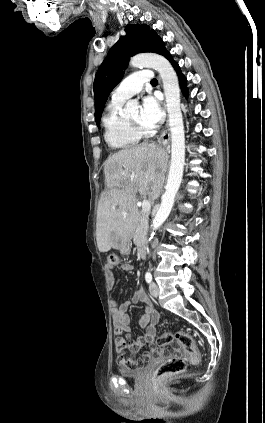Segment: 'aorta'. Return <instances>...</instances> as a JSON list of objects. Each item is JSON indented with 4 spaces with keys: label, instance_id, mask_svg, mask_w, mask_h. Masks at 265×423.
<instances>
[{
    "label": "aorta",
    "instance_id": "obj_1",
    "mask_svg": "<svg viewBox=\"0 0 265 423\" xmlns=\"http://www.w3.org/2000/svg\"><path fill=\"white\" fill-rule=\"evenodd\" d=\"M130 65L134 68H153L160 74L171 131V163L161 205L152 221V230H157L168 218L174 204L175 196L180 187L185 162V134L180 108V88L178 77L170 62L155 53L138 54L131 58ZM138 107L136 101L126 103L124 111L130 112Z\"/></svg>",
    "mask_w": 265,
    "mask_h": 423
}]
</instances>
